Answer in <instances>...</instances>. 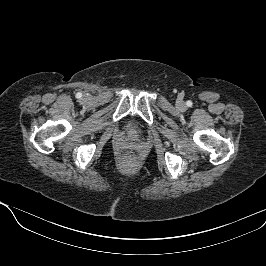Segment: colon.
I'll use <instances>...</instances> for the list:
<instances>
[{"mask_svg": "<svg viewBox=\"0 0 266 266\" xmlns=\"http://www.w3.org/2000/svg\"><path fill=\"white\" fill-rule=\"evenodd\" d=\"M127 158L130 161H134L136 159V154L134 152H129L128 155H127Z\"/></svg>", "mask_w": 266, "mask_h": 266, "instance_id": "colon-1", "label": "colon"}]
</instances>
